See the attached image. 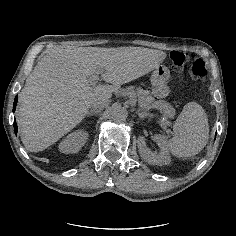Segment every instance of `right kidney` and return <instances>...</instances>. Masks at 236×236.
I'll list each match as a JSON object with an SVG mask.
<instances>
[{
	"label": "right kidney",
	"mask_w": 236,
	"mask_h": 236,
	"mask_svg": "<svg viewBox=\"0 0 236 236\" xmlns=\"http://www.w3.org/2000/svg\"><path fill=\"white\" fill-rule=\"evenodd\" d=\"M87 137L88 134L84 131L71 133L61 142L59 149L64 153H75L85 144Z\"/></svg>",
	"instance_id": "1"
}]
</instances>
